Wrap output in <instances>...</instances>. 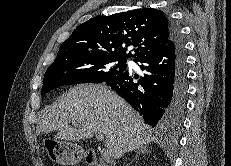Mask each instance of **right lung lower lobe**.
<instances>
[{
  "instance_id": "obj_1",
  "label": "right lung lower lobe",
  "mask_w": 231,
  "mask_h": 166,
  "mask_svg": "<svg viewBox=\"0 0 231 166\" xmlns=\"http://www.w3.org/2000/svg\"><path fill=\"white\" fill-rule=\"evenodd\" d=\"M171 40L160 51L135 60L147 74L134 82L127 71L104 83L120 94L145 122L159 134L177 130L182 122L187 94V68L184 41L170 21Z\"/></svg>"
}]
</instances>
